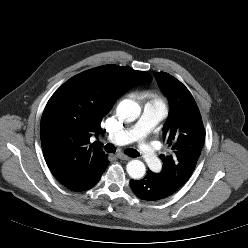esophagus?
<instances>
[{
	"label": "esophagus",
	"instance_id": "obj_1",
	"mask_svg": "<svg viewBox=\"0 0 248 248\" xmlns=\"http://www.w3.org/2000/svg\"><path fill=\"white\" fill-rule=\"evenodd\" d=\"M117 157L121 160H130L131 158L127 155H125L124 153H118Z\"/></svg>",
	"mask_w": 248,
	"mask_h": 248
}]
</instances>
